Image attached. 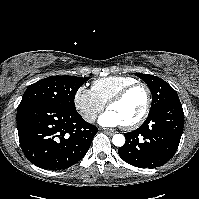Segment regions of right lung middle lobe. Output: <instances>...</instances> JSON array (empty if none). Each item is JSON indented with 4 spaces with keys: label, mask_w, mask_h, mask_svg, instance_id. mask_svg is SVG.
I'll list each match as a JSON object with an SVG mask.
<instances>
[{
    "label": "right lung middle lobe",
    "mask_w": 199,
    "mask_h": 199,
    "mask_svg": "<svg viewBox=\"0 0 199 199\" xmlns=\"http://www.w3.org/2000/svg\"><path fill=\"white\" fill-rule=\"evenodd\" d=\"M89 77L51 76L30 85L20 105L43 103L66 111H76L74 97Z\"/></svg>",
    "instance_id": "obj_1"
}]
</instances>
